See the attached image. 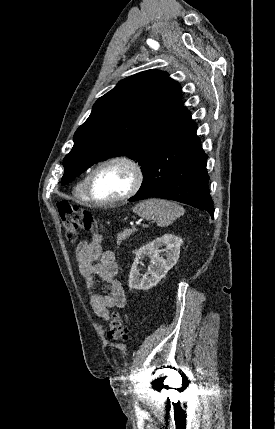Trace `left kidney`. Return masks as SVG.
<instances>
[{
    "mask_svg": "<svg viewBox=\"0 0 275 429\" xmlns=\"http://www.w3.org/2000/svg\"><path fill=\"white\" fill-rule=\"evenodd\" d=\"M182 244L183 239L172 234H165L142 246L136 254L129 274L130 289L149 290L157 285L167 272L176 265ZM144 256L149 257L150 265L146 274L141 277L138 264Z\"/></svg>",
    "mask_w": 275,
    "mask_h": 429,
    "instance_id": "5707ae66",
    "label": "left kidney"
}]
</instances>
